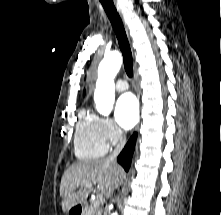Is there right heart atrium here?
I'll return each instance as SVG.
<instances>
[{"label": "right heart atrium", "instance_id": "d8ad5b80", "mask_svg": "<svg viewBox=\"0 0 221 215\" xmlns=\"http://www.w3.org/2000/svg\"><path fill=\"white\" fill-rule=\"evenodd\" d=\"M99 128L101 136L107 144H117L121 141L122 132L110 118H99Z\"/></svg>", "mask_w": 221, "mask_h": 215}]
</instances>
